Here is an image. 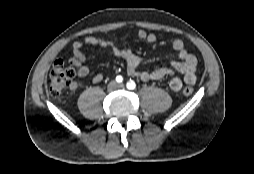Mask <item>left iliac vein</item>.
Returning a JSON list of instances; mask_svg holds the SVG:
<instances>
[{"instance_id": "4c4485c4", "label": "left iliac vein", "mask_w": 254, "mask_h": 174, "mask_svg": "<svg viewBox=\"0 0 254 174\" xmlns=\"http://www.w3.org/2000/svg\"><path fill=\"white\" fill-rule=\"evenodd\" d=\"M119 87H121V88H122V87H124V85H123V84H120V85H119Z\"/></svg>"}]
</instances>
